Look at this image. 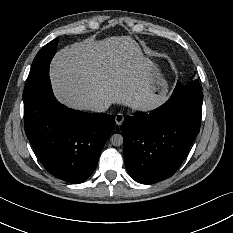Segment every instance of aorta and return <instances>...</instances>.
<instances>
[{"label":"aorta","instance_id":"1","mask_svg":"<svg viewBox=\"0 0 233 233\" xmlns=\"http://www.w3.org/2000/svg\"><path fill=\"white\" fill-rule=\"evenodd\" d=\"M110 142L113 146H121L123 144V137L120 134H114L111 136Z\"/></svg>","mask_w":233,"mask_h":233}]
</instances>
